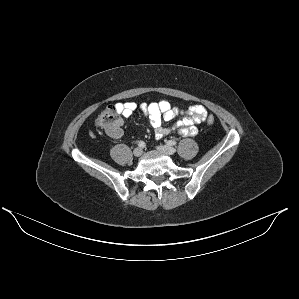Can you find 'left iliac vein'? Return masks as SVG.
Returning a JSON list of instances; mask_svg holds the SVG:
<instances>
[{
    "label": "left iliac vein",
    "instance_id": "1",
    "mask_svg": "<svg viewBox=\"0 0 299 299\" xmlns=\"http://www.w3.org/2000/svg\"><path fill=\"white\" fill-rule=\"evenodd\" d=\"M157 150L168 155H173L176 151L173 147L167 145H159L157 146Z\"/></svg>",
    "mask_w": 299,
    "mask_h": 299
}]
</instances>
